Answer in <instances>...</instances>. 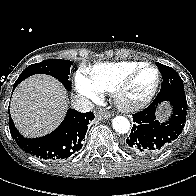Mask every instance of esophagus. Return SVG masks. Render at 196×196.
<instances>
[{"instance_id":"1","label":"esophagus","mask_w":196,"mask_h":196,"mask_svg":"<svg viewBox=\"0 0 196 196\" xmlns=\"http://www.w3.org/2000/svg\"><path fill=\"white\" fill-rule=\"evenodd\" d=\"M111 117V114L106 111H98L96 114V118L99 120L108 119Z\"/></svg>"}]
</instances>
